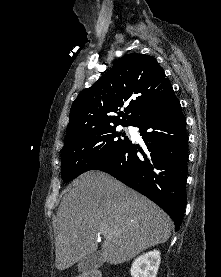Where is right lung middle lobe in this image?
<instances>
[{
	"label": "right lung middle lobe",
	"mask_w": 221,
	"mask_h": 277,
	"mask_svg": "<svg viewBox=\"0 0 221 277\" xmlns=\"http://www.w3.org/2000/svg\"><path fill=\"white\" fill-rule=\"evenodd\" d=\"M118 125L91 128L65 140L61 163L64 182L91 170L130 141L125 133L117 130Z\"/></svg>",
	"instance_id": "1"
}]
</instances>
